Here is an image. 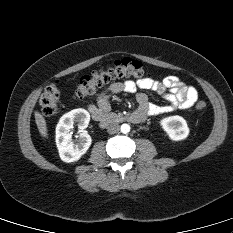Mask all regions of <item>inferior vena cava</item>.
Instances as JSON below:
<instances>
[{
    "mask_svg": "<svg viewBox=\"0 0 233 233\" xmlns=\"http://www.w3.org/2000/svg\"><path fill=\"white\" fill-rule=\"evenodd\" d=\"M120 130V126L117 123H112L107 127V132L109 134H115Z\"/></svg>",
    "mask_w": 233,
    "mask_h": 233,
    "instance_id": "inferior-vena-cava-1",
    "label": "inferior vena cava"
}]
</instances>
